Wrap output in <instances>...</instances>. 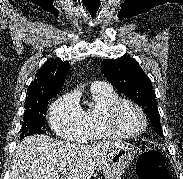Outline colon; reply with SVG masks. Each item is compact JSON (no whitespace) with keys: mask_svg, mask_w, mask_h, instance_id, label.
Here are the masks:
<instances>
[{"mask_svg":"<svg viewBox=\"0 0 183 179\" xmlns=\"http://www.w3.org/2000/svg\"><path fill=\"white\" fill-rule=\"evenodd\" d=\"M139 179H171L165 159L159 150L144 148L136 163Z\"/></svg>","mask_w":183,"mask_h":179,"instance_id":"1","label":"colon"}]
</instances>
